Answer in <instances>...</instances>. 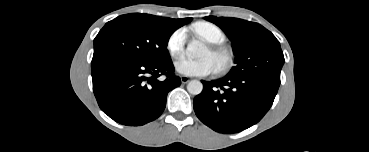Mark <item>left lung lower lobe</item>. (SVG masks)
Segmentation results:
<instances>
[{"mask_svg":"<svg viewBox=\"0 0 369 152\" xmlns=\"http://www.w3.org/2000/svg\"><path fill=\"white\" fill-rule=\"evenodd\" d=\"M194 98L197 117L214 131L231 134L259 122L273 104L280 79L267 76H229L202 81Z\"/></svg>","mask_w":369,"mask_h":152,"instance_id":"0a47b994","label":"left lung lower lobe"}]
</instances>
